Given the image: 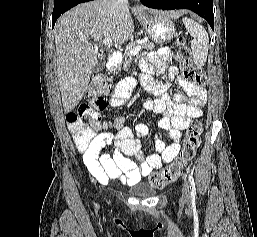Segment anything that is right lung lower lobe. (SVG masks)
Returning a JSON list of instances; mask_svg holds the SVG:
<instances>
[{"instance_id": "right-lung-lower-lobe-1", "label": "right lung lower lobe", "mask_w": 257, "mask_h": 237, "mask_svg": "<svg viewBox=\"0 0 257 237\" xmlns=\"http://www.w3.org/2000/svg\"><path fill=\"white\" fill-rule=\"evenodd\" d=\"M91 0H55L54 1V9L52 13V24L53 27L55 25L56 20L59 18L61 14L71 9L82 2H88Z\"/></svg>"}]
</instances>
